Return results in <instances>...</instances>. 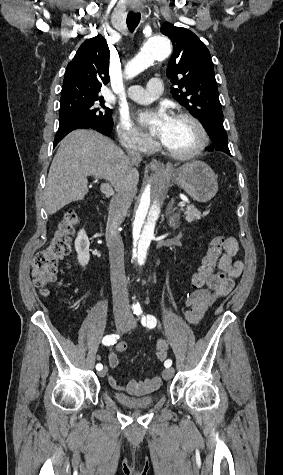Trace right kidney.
Returning a JSON list of instances; mask_svg holds the SVG:
<instances>
[{
    "label": "right kidney",
    "instance_id": "right-kidney-1",
    "mask_svg": "<svg viewBox=\"0 0 283 475\" xmlns=\"http://www.w3.org/2000/svg\"><path fill=\"white\" fill-rule=\"evenodd\" d=\"M75 249L77 251V259L80 265H87L90 259L89 245L90 241L86 236L85 230H79L77 238L75 239Z\"/></svg>",
    "mask_w": 283,
    "mask_h": 475
}]
</instances>
